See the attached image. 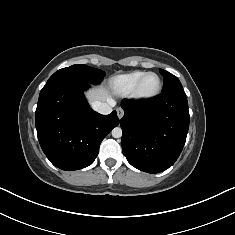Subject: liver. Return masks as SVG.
I'll return each instance as SVG.
<instances>
[{
    "mask_svg": "<svg viewBox=\"0 0 235 235\" xmlns=\"http://www.w3.org/2000/svg\"><path fill=\"white\" fill-rule=\"evenodd\" d=\"M85 95L91 104L95 101L109 102L111 100L110 92L104 86L93 88Z\"/></svg>",
    "mask_w": 235,
    "mask_h": 235,
    "instance_id": "liver-1",
    "label": "liver"
}]
</instances>
